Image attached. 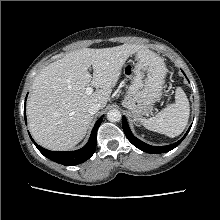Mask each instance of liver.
Returning a JSON list of instances; mask_svg holds the SVG:
<instances>
[{
	"mask_svg": "<svg viewBox=\"0 0 220 220\" xmlns=\"http://www.w3.org/2000/svg\"><path fill=\"white\" fill-rule=\"evenodd\" d=\"M141 49L143 46L135 44L82 48L42 69L27 101L29 129L37 143L56 151L77 145L93 119L89 107L106 106L126 60ZM89 85L96 87L91 95L86 94Z\"/></svg>",
	"mask_w": 220,
	"mask_h": 220,
	"instance_id": "6515ba94",
	"label": "liver"
}]
</instances>
